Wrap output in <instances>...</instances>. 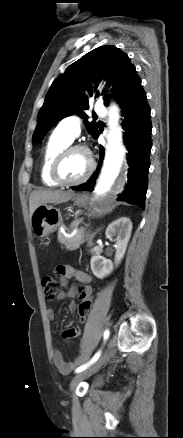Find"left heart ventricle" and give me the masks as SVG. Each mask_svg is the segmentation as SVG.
Returning <instances> with one entry per match:
<instances>
[{
    "label": "left heart ventricle",
    "instance_id": "b2bd125f",
    "mask_svg": "<svg viewBox=\"0 0 183 438\" xmlns=\"http://www.w3.org/2000/svg\"><path fill=\"white\" fill-rule=\"evenodd\" d=\"M88 168V159L85 153L75 151L70 153L60 166V177L68 182L81 178Z\"/></svg>",
    "mask_w": 183,
    "mask_h": 438
}]
</instances>
